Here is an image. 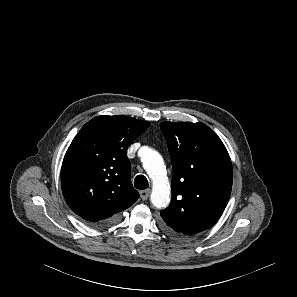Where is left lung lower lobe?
Here are the masks:
<instances>
[{"label": "left lung lower lobe", "mask_w": 297, "mask_h": 297, "mask_svg": "<svg viewBox=\"0 0 297 297\" xmlns=\"http://www.w3.org/2000/svg\"><path fill=\"white\" fill-rule=\"evenodd\" d=\"M162 228L164 229V231L166 233H168L170 236L174 237V238H181L179 235L175 234L174 232H172L171 230H169L167 227H165L164 225H162Z\"/></svg>", "instance_id": "1"}]
</instances>
